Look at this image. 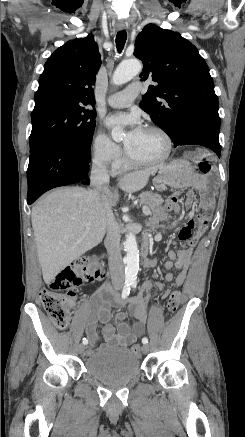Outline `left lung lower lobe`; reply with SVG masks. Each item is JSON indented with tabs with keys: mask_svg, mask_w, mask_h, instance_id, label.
Returning a JSON list of instances; mask_svg holds the SVG:
<instances>
[{
	"mask_svg": "<svg viewBox=\"0 0 245 437\" xmlns=\"http://www.w3.org/2000/svg\"><path fill=\"white\" fill-rule=\"evenodd\" d=\"M219 131L220 129L210 124H194L186 129L174 145H202L213 150L220 157Z\"/></svg>",
	"mask_w": 245,
	"mask_h": 437,
	"instance_id": "0a47b994",
	"label": "left lung lower lobe"
}]
</instances>
